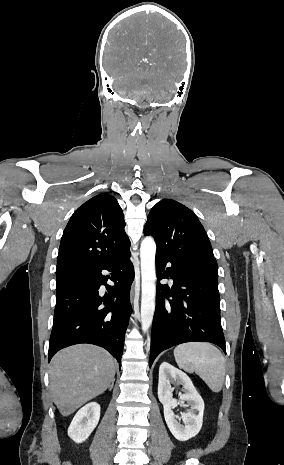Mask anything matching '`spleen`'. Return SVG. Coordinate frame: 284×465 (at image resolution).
I'll use <instances>...</instances> for the list:
<instances>
[{"label": "spleen", "mask_w": 284, "mask_h": 465, "mask_svg": "<svg viewBox=\"0 0 284 465\" xmlns=\"http://www.w3.org/2000/svg\"><path fill=\"white\" fill-rule=\"evenodd\" d=\"M180 369L199 375L213 393H220L225 379V359L210 343H184L174 349Z\"/></svg>", "instance_id": "1"}]
</instances>
